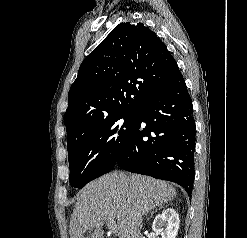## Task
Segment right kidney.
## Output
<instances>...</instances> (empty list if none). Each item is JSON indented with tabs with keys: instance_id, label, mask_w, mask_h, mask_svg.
<instances>
[{
	"instance_id": "1",
	"label": "right kidney",
	"mask_w": 247,
	"mask_h": 238,
	"mask_svg": "<svg viewBox=\"0 0 247 238\" xmlns=\"http://www.w3.org/2000/svg\"><path fill=\"white\" fill-rule=\"evenodd\" d=\"M179 223L178 213L173 208H167L155 217L152 230L161 235V238H176Z\"/></svg>"
}]
</instances>
